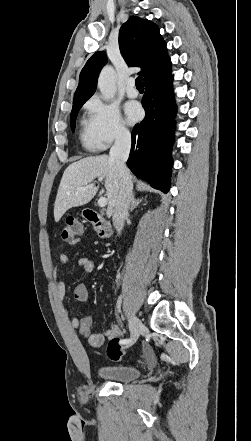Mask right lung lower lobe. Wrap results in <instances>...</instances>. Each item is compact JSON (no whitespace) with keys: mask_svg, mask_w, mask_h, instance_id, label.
Returning a JSON list of instances; mask_svg holds the SVG:
<instances>
[{"mask_svg":"<svg viewBox=\"0 0 251 441\" xmlns=\"http://www.w3.org/2000/svg\"><path fill=\"white\" fill-rule=\"evenodd\" d=\"M171 66L146 81L142 105L146 116L132 130V146L127 166L138 178L167 193L173 160L174 117Z\"/></svg>","mask_w":251,"mask_h":441,"instance_id":"right-lung-lower-lobe-1","label":"right lung lower lobe"}]
</instances>
